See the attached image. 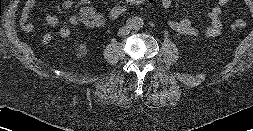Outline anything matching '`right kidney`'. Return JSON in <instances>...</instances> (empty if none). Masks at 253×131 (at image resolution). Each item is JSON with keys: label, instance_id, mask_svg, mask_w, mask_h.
Masks as SVG:
<instances>
[{"label": "right kidney", "instance_id": "ca27d5eb", "mask_svg": "<svg viewBox=\"0 0 253 131\" xmlns=\"http://www.w3.org/2000/svg\"><path fill=\"white\" fill-rule=\"evenodd\" d=\"M86 49V46L83 44V45H80V48H79V50L80 51H83V50H85Z\"/></svg>", "mask_w": 253, "mask_h": 131}]
</instances>
